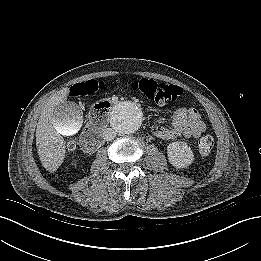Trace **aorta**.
<instances>
[{
    "instance_id": "762f6f07",
    "label": "aorta",
    "mask_w": 261,
    "mask_h": 261,
    "mask_svg": "<svg viewBox=\"0 0 261 261\" xmlns=\"http://www.w3.org/2000/svg\"><path fill=\"white\" fill-rule=\"evenodd\" d=\"M143 122V112L135 102L126 101L116 105L110 116V124L119 134L136 132Z\"/></svg>"
}]
</instances>
